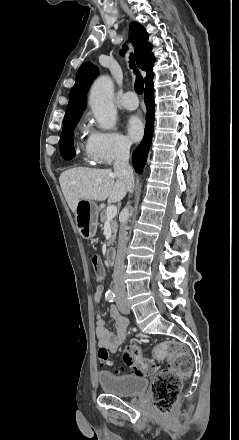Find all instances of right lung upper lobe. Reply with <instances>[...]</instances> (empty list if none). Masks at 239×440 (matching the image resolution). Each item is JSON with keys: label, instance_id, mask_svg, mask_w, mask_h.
<instances>
[{"label": "right lung upper lobe", "instance_id": "1", "mask_svg": "<svg viewBox=\"0 0 239 440\" xmlns=\"http://www.w3.org/2000/svg\"><path fill=\"white\" fill-rule=\"evenodd\" d=\"M130 40L134 46V54L137 66L146 71L145 79L153 74L152 68L155 61L148 43V34L145 28L138 22H131L129 26ZM126 50V46H124ZM123 53V52H121ZM98 75V69L91 63H83L77 71L75 84L71 90L68 107L64 116L63 125L80 118L86 106V93L94 77Z\"/></svg>", "mask_w": 239, "mask_h": 440}]
</instances>
